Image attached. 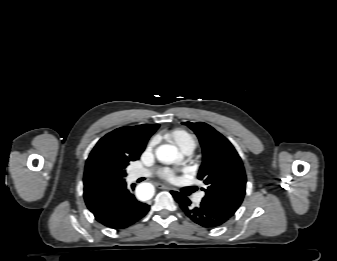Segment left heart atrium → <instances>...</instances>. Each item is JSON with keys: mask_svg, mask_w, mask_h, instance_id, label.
Here are the masks:
<instances>
[{"mask_svg": "<svg viewBox=\"0 0 337 261\" xmlns=\"http://www.w3.org/2000/svg\"><path fill=\"white\" fill-rule=\"evenodd\" d=\"M161 176H162L164 179L169 180V181H171V180L174 179V174H173V172H172L171 170H169V169H163V170L161 171Z\"/></svg>", "mask_w": 337, "mask_h": 261, "instance_id": "1", "label": "left heart atrium"}]
</instances>
